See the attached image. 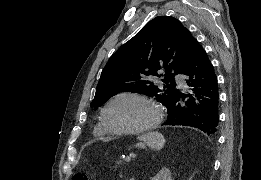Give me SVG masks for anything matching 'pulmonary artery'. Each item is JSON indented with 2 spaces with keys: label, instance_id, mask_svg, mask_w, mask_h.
<instances>
[{
  "label": "pulmonary artery",
  "instance_id": "obj_1",
  "mask_svg": "<svg viewBox=\"0 0 261 180\" xmlns=\"http://www.w3.org/2000/svg\"><path fill=\"white\" fill-rule=\"evenodd\" d=\"M172 76H173V77H178V76H179V73H178V72H173V73H172ZM175 82H176V83H181V82H182V79H181V78H176V79H175Z\"/></svg>",
  "mask_w": 261,
  "mask_h": 180
}]
</instances>
